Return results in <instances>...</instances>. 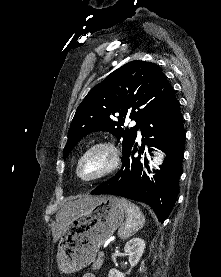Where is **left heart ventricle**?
<instances>
[{
    "label": "left heart ventricle",
    "instance_id": "left-heart-ventricle-1",
    "mask_svg": "<svg viewBox=\"0 0 221 277\" xmlns=\"http://www.w3.org/2000/svg\"><path fill=\"white\" fill-rule=\"evenodd\" d=\"M108 162V156L101 151L94 152L84 159L80 166V174L89 178L102 171Z\"/></svg>",
    "mask_w": 221,
    "mask_h": 277
}]
</instances>
